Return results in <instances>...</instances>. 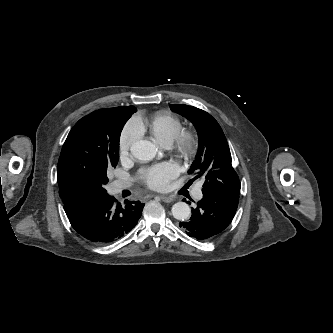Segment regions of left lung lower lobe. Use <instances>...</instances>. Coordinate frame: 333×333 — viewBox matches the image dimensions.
Masks as SVG:
<instances>
[{"label":"left lung lower lobe","instance_id":"obj_1","mask_svg":"<svg viewBox=\"0 0 333 333\" xmlns=\"http://www.w3.org/2000/svg\"><path fill=\"white\" fill-rule=\"evenodd\" d=\"M203 198L192 209L189 221L180 222L190 237L207 239L222 232L232 221L239 195H217L202 190Z\"/></svg>","mask_w":333,"mask_h":333}]
</instances>
